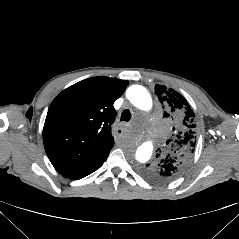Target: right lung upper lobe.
I'll use <instances>...</instances> for the list:
<instances>
[{
	"mask_svg": "<svg viewBox=\"0 0 239 239\" xmlns=\"http://www.w3.org/2000/svg\"><path fill=\"white\" fill-rule=\"evenodd\" d=\"M127 84L128 80L92 77L63 90L52 101L43 143L50 162L61 175H73L113 147V103Z\"/></svg>",
	"mask_w": 239,
	"mask_h": 239,
	"instance_id": "cb5924a9",
	"label": "right lung upper lobe"
}]
</instances>
